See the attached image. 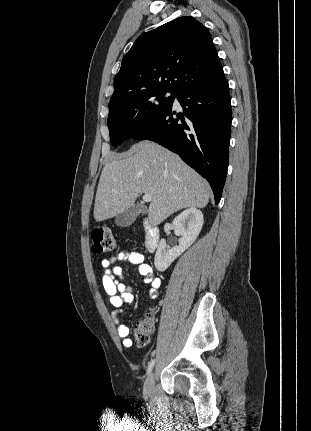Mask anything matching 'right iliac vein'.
Wrapping results in <instances>:
<instances>
[{
  "mask_svg": "<svg viewBox=\"0 0 311 431\" xmlns=\"http://www.w3.org/2000/svg\"><path fill=\"white\" fill-rule=\"evenodd\" d=\"M154 383H155V375L153 372H151L148 378L146 379L144 388H143V395L146 399H148L151 396Z\"/></svg>",
  "mask_w": 311,
  "mask_h": 431,
  "instance_id": "1",
  "label": "right iliac vein"
}]
</instances>
